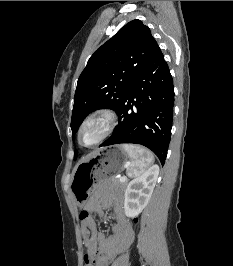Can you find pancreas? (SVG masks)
I'll return each mask as SVG.
<instances>
[{
	"mask_svg": "<svg viewBox=\"0 0 233 266\" xmlns=\"http://www.w3.org/2000/svg\"><path fill=\"white\" fill-rule=\"evenodd\" d=\"M112 181H113L114 184H116V185H118V186H120V187H122V188L126 187V185H127V181H125V182H121V181H120L119 179H117L116 177H113V178H112Z\"/></svg>",
	"mask_w": 233,
	"mask_h": 266,
	"instance_id": "cf45deb5",
	"label": "pancreas"
}]
</instances>
